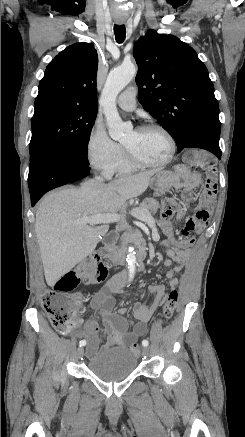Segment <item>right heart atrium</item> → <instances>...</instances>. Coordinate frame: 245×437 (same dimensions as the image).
Returning a JSON list of instances; mask_svg holds the SVG:
<instances>
[{
  "label": "right heart atrium",
  "instance_id": "obj_1",
  "mask_svg": "<svg viewBox=\"0 0 245 437\" xmlns=\"http://www.w3.org/2000/svg\"><path fill=\"white\" fill-rule=\"evenodd\" d=\"M123 155L122 147L113 141L104 126L96 121L87 138L86 157L89 164L108 176Z\"/></svg>",
  "mask_w": 245,
  "mask_h": 437
}]
</instances>
